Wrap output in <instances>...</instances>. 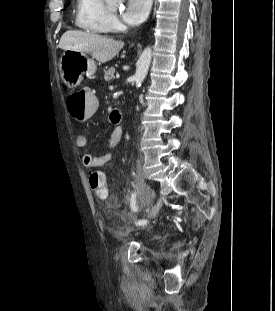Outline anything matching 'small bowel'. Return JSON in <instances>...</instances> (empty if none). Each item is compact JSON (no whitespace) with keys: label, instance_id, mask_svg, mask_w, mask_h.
Instances as JSON below:
<instances>
[{"label":"small bowel","instance_id":"small-bowel-1","mask_svg":"<svg viewBox=\"0 0 275 311\" xmlns=\"http://www.w3.org/2000/svg\"><path fill=\"white\" fill-rule=\"evenodd\" d=\"M97 107L95 108V111ZM109 119L106 120L107 126H114L110 138L106 144L105 150L97 153H85L82 155L83 165L88 168H97L108 163L112 158V149L115 148L123 134V120L121 113L109 114ZM75 144L79 148H83L87 145V136L83 132H78L75 136Z\"/></svg>","mask_w":275,"mask_h":311}]
</instances>
